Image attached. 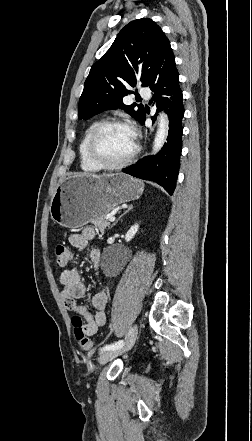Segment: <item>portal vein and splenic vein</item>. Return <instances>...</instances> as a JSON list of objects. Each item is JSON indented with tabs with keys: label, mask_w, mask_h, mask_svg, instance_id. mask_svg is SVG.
Wrapping results in <instances>:
<instances>
[{
	"label": "portal vein and splenic vein",
	"mask_w": 252,
	"mask_h": 441,
	"mask_svg": "<svg viewBox=\"0 0 252 441\" xmlns=\"http://www.w3.org/2000/svg\"><path fill=\"white\" fill-rule=\"evenodd\" d=\"M115 219H116V218H115L114 216H111V217L109 218V221H110V222H114Z\"/></svg>",
	"instance_id": "portal-vein-and-splenic-vein-1"
}]
</instances>
